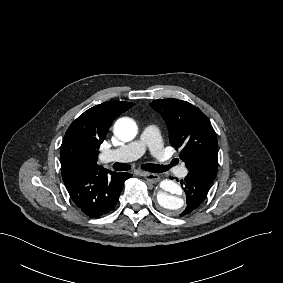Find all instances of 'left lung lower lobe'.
Instances as JSON below:
<instances>
[{
  "instance_id": "obj_1",
  "label": "left lung lower lobe",
  "mask_w": 283,
  "mask_h": 283,
  "mask_svg": "<svg viewBox=\"0 0 283 283\" xmlns=\"http://www.w3.org/2000/svg\"><path fill=\"white\" fill-rule=\"evenodd\" d=\"M216 174L208 170L195 169L189 171L185 179L181 181L187 199V207L181 213V216L194 212L203 203Z\"/></svg>"
}]
</instances>
